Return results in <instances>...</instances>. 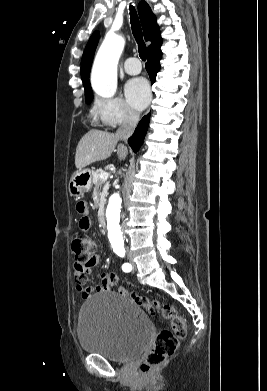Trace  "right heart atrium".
I'll list each match as a JSON object with an SVG mask.
<instances>
[{
	"mask_svg": "<svg viewBox=\"0 0 267 391\" xmlns=\"http://www.w3.org/2000/svg\"><path fill=\"white\" fill-rule=\"evenodd\" d=\"M92 114L96 121L107 128L130 125L138 119V114L120 97L97 98Z\"/></svg>",
	"mask_w": 267,
	"mask_h": 391,
	"instance_id": "right-heart-atrium-1",
	"label": "right heart atrium"
}]
</instances>
